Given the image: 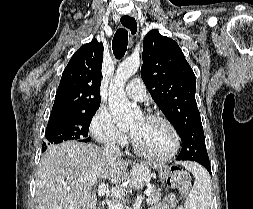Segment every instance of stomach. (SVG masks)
<instances>
[{
  "label": "stomach",
  "mask_w": 253,
  "mask_h": 209,
  "mask_svg": "<svg viewBox=\"0 0 253 209\" xmlns=\"http://www.w3.org/2000/svg\"><path fill=\"white\" fill-rule=\"evenodd\" d=\"M163 168L160 169L159 172V182H166L167 179H169V174L167 171H162Z\"/></svg>",
  "instance_id": "1"
}]
</instances>
